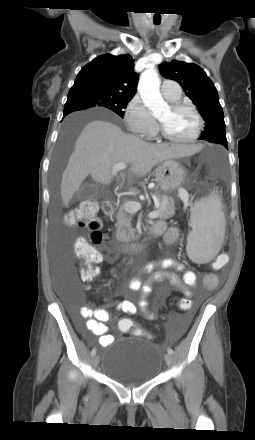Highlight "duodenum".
<instances>
[{
	"label": "duodenum",
	"mask_w": 255,
	"mask_h": 440,
	"mask_svg": "<svg viewBox=\"0 0 255 440\" xmlns=\"http://www.w3.org/2000/svg\"><path fill=\"white\" fill-rule=\"evenodd\" d=\"M102 210L107 216H111L114 213L115 207L111 201H104L102 204ZM162 232V228L157 225L150 226L146 232L145 237L136 242L126 243L122 246V249L127 253H135L143 250L150 240L159 236Z\"/></svg>",
	"instance_id": "1"
}]
</instances>
